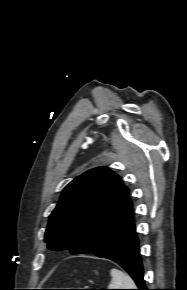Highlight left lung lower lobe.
<instances>
[{"label":"left lung lower lobe","instance_id":"1","mask_svg":"<svg viewBox=\"0 0 187 290\" xmlns=\"http://www.w3.org/2000/svg\"><path fill=\"white\" fill-rule=\"evenodd\" d=\"M139 251L131 208L126 217L92 253L116 262L130 274L138 290H148L143 279V265Z\"/></svg>","mask_w":187,"mask_h":290}]
</instances>
